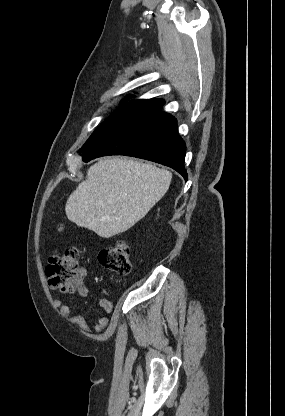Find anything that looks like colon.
<instances>
[{
	"label": "colon",
	"instance_id": "5ec220e1",
	"mask_svg": "<svg viewBox=\"0 0 285 416\" xmlns=\"http://www.w3.org/2000/svg\"><path fill=\"white\" fill-rule=\"evenodd\" d=\"M100 263L119 275L131 271L130 246L125 240H118L112 246L102 249L98 255ZM51 287L65 292L75 291L82 282L79 267V250L69 247L63 253L53 255L46 267Z\"/></svg>",
	"mask_w": 285,
	"mask_h": 416
}]
</instances>
